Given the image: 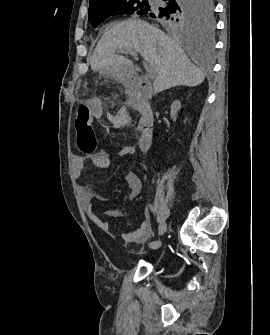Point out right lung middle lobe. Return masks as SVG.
I'll use <instances>...</instances> for the list:
<instances>
[{"label": "right lung middle lobe", "instance_id": "1", "mask_svg": "<svg viewBox=\"0 0 270 335\" xmlns=\"http://www.w3.org/2000/svg\"><path fill=\"white\" fill-rule=\"evenodd\" d=\"M158 7L148 0H114L89 8L90 23L97 27L106 18L119 14L149 15L160 25L172 29H185L199 24L213 26V0H164Z\"/></svg>", "mask_w": 270, "mask_h": 335}]
</instances>
